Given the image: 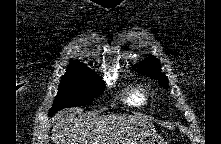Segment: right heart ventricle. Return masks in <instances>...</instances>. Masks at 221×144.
I'll use <instances>...</instances> for the list:
<instances>
[{"label": "right heart ventricle", "mask_w": 221, "mask_h": 144, "mask_svg": "<svg viewBox=\"0 0 221 144\" xmlns=\"http://www.w3.org/2000/svg\"><path fill=\"white\" fill-rule=\"evenodd\" d=\"M124 101L131 106L143 107L149 101V92L143 86H131L124 94Z\"/></svg>", "instance_id": "obj_1"}]
</instances>
